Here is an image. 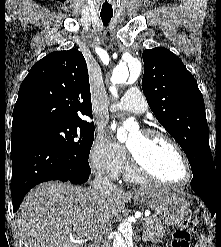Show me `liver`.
<instances>
[{
	"label": "liver",
	"mask_w": 221,
	"mask_h": 247,
	"mask_svg": "<svg viewBox=\"0 0 221 247\" xmlns=\"http://www.w3.org/2000/svg\"><path fill=\"white\" fill-rule=\"evenodd\" d=\"M139 193L158 197L165 190L140 189ZM133 192L116 188L101 198L92 188L84 189L57 181L40 184L25 196L18 225L28 247H86L111 230Z\"/></svg>",
	"instance_id": "6515ba94"
}]
</instances>
